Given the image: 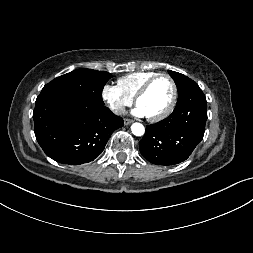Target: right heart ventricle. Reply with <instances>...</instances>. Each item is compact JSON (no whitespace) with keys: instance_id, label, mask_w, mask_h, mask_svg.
<instances>
[{"instance_id":"1","label":"right heart ventricle","mask_w":253,"mask_h":253,"mask_svg":"<svg viewBox=\"0 0 253 253\" xmlns=\"http://www.w3.org/2000/svg\"><path fill=\"white\" fill-rule=\"evenodd\" d=\"M156 72H134L120 77L117 80L119 88L130 98H134L139 89L152 77L157 75Z\"/></svg>"}]
</instances>
